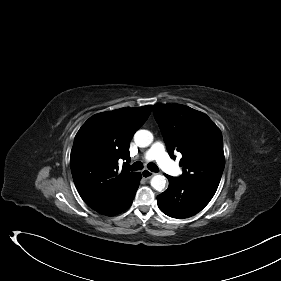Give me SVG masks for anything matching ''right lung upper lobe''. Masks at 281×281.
Here are the masks:
<instances>
[{"mask_svg":"<svg viewBox=\"0 0 281 281\" xmlns=\"http://www.w3.org/2000/svg\"><path fill=\"white\" fill-rule=\"evenodd\" d=\"M151 106L122 108L90 117L75 136L70 156L76 188L84 202L100 214L116 213L132 193L138 172L122 169L130 160V140L147 120Z\"/></svg>","mask_w":281,"mask_h":281,"instance_id":"cb5924a9","label":"right lung upper lobe"}]
</instances>
